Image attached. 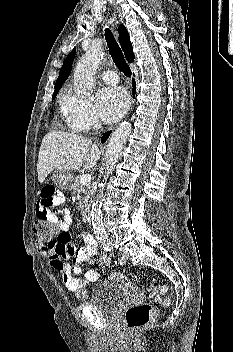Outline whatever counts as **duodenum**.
Masks as SVG:
<instances>
[{
    "mask_svg": "<svg viewBox=\"0 0 233 352\" xmlns=\"http://www.w3.org/2000/svg\"><path fill=\"white\" fill-rule=\"evenodd\" d=\"M84 218H85V221L87 222V223H91L92 222V214H91V211H90V209H85V211H84Z\"/></svg>",
    "mask_w": 233,
    "mask_h": 352,
    "instance_id": "duodenum-1",
    "label": "duodenum"
}]
</instances>
